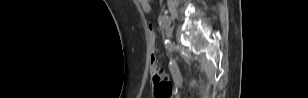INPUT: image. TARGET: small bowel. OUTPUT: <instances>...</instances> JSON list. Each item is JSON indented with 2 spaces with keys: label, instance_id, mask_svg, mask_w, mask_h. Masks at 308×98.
Here are the masks:
<instances>
[{
  "label": "small bowel",
  "instance_id": "small-bowel-1",
  "mask_svg": "<svg viewBox=\"0 0 308 98\" xmlns=\"http://www.w3.org/2000/svg\"><path fill=\"white\" fill-rule=\"evenodd\" d=\"M139 3L143 9L144 12H150L151 11V5L153 1L151 0H139Z\"/></svg>",
  "mask_w": 308,
  "mask_h": 98
}]
</instances>
